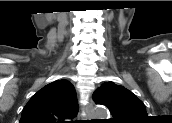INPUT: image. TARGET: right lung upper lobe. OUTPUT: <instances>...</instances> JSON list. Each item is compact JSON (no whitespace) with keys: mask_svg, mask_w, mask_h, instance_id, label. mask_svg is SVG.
I'll list each match as a JSON object with an SVG mask.
<instances>
[{"mask_svg":"<svg viewBox=\"0 0 172 123\" xmlns=\"http://www.w3.org/2000/svg\"><path fill=\"white\" fill-rule=\"evenodd\" d=\"M78 109L74 86L68 80H56L31 97L19 123H67Z\"/></svg>","mask_w":172,"mask_h":123,"instance_id":"1","label":"right lung upper lobe"}]
</instances>
